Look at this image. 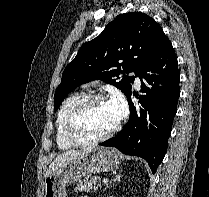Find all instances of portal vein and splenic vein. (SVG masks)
Returning <instances> with one entry per match:
<instances>
[{"mask_svg":"<svg viewBox=\"0 0 209 197\" xmlns=\"http://www.w3.org/2000/svg\"><path fill=\"white\" fill-rule=\"evenodd\" d=\"M108 181H109V180H108L107 178H104V179H103V183H105V184L108 183Z\"/></svg>","mask_w":209,"mask_h":197,"instance_id":"1","label":"portal vein and splenic vein"}]
</instances>
